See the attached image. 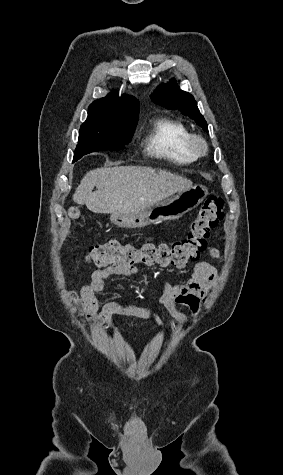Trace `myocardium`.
I'll return each instance as SVG.
<instances>
[{
  "label": "myocardium",
  "mask_w": 283,
  "mask_h": 475,
  "mask_svg": "<svg viewBox=\"0 0 283 475\" xmlns=\"http://www.w3.org/2000/svg\"><path fill=\"white\" fill-rule=\"evenodd\" d=\"M186 148L189 152L197 157L203 156L208 151V144L206 140L198 133H191L185 142ZM162 155L167 158H175L176 152L171 148L166 147Z\"/></svg>",
  "instance_id": "obj_1"
}]
</instances>
